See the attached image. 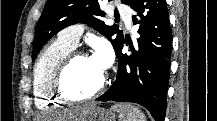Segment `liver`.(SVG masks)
Returning a JSON list of instances; mask_svg holds the SVG:
<instances>
[{
	"label": "liver",
	"mask_w": 217,
	"mask_h": 121,
	"mask_svg": "<svg viewBox=\"0 0 217 121\" xmlns=\"http://www.w3.org/2000/svg\"><path fill=\"white\" fill-rule=\"evenodd\" d=\"M95 106H90V107H84L80 110V112L75 116L73 114L68 115H64L63 117H59V119H61L60 121H63V119H67V117L69 118H74L78 121H85V117L88 113H90V111L94 108ZM78 116V117H77Z\"/></svg>",
	"instance_id": "liver-1"
}]
</instances>
